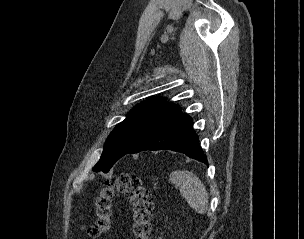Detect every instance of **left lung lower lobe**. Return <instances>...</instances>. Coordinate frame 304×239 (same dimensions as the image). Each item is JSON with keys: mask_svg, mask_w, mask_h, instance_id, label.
Returning a JSON list of instances; mask_svg holds the SVG:
<instances>
[{"mask_svg": "<svg viewBox=\"0 0 304 239\" xmlns=\"http://www.w3.org/2000/svg\"><path fill=\"white\" fill-rule=\"evenodd\" d=\"M163 149L181 152L192 159L208 164L207 158L199 145L198 136L193 130V121L186 114H181L165 123L141 140L126 154Z\"/></svg>", "mask_w": 304, "mask_h": 239, "instance_id": "1", "label": "left lung lower lobe"}]
</instances>
